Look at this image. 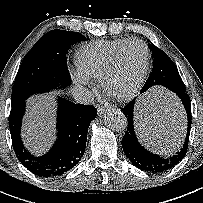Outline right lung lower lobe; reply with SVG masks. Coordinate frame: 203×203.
<instances>
[{
	"label": "right lung lower lobe",
	"instance_id": "right-lung-lower-lobe-1",
	"mask_svg": "<svg viewBox=\"0 0 203 203\" xmlns=\"http://www.w3.org/2000/svg\"><path fill=\"white\" fill-rule=\"evenodd\" d=\"M57 115V140L44 156L35 157L24 147L20 131L25 111V101L12 107L9 117L12 144L18 160L39 177H56L74 168L86 147L90 122L97 110L93 106L74 104L59 98Z\"/></svg>",
	"mask_w": 203,
	"mask_h": 203
}]
</instances>
